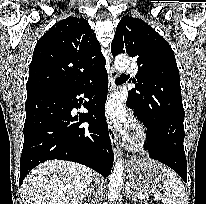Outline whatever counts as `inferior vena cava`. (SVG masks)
Listing matches in <instances>:
<instances>
[{
    "instance_id": "1",
    "label": "inferior vena cava",
    "mask_w": 206,
    "mask_h": 204,
    "mask_svg": "<svg viewBox=\"0 0 206 204\" xmlns=\"http://www.w3.org/2000/svg\"><path fill=\"white\" fill-rule=\"evenodd\" d=\"M89 190L93 191V188H92V187H89V188H88V191H89Z\"/></svg>"
}]
</instances>
